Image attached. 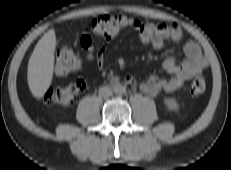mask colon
<instances>
[{
	"instance_id": "1",
	"label": "colon",
	"mask_w": 231,
	"mask_h": 170,
	"mask_svg": "<svg viewBox=\"0 0 231 170\" xmlns=\"http://www.w3.org/2000/svg\"><path fill=\"white\" fill-rule=\"evenodd\" d=\"M135 19L126 15L105 14L93 18L89 23V30L95 35L112 38L126 27H134ZM81 67L80 58L70 47H62L57 51L55 73L64 76L77 71ZM86 89V83L79 80L59 87L50 88L44 95L47 103L70 106L74 104ZM206 89V82L202 77L193 80L190 91L193 95H200Z\"/></svg>"
}]
</instances>
